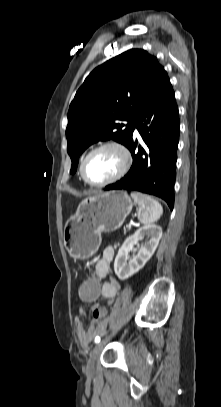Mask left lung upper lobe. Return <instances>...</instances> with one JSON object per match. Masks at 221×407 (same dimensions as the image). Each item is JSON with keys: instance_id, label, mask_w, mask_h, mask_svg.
<instances>
[{"instance_id": "1", "label": "left lung upper lobe", "mask_w": 221, "mask_h": 407, "mask_svg": "<svg viewBox=\"0 0 221 407\" xmlns=\"http://www.w3.org/2000/svg\"><path fill=\"white\" fill-rule=\"evenodd\" d=\"M166 75L157 59L142 49L128 50L89 74L68 111L71 173L77 170L80 154L97 141L128 145L138 115Z\"/></svg>"}]
</instances>
